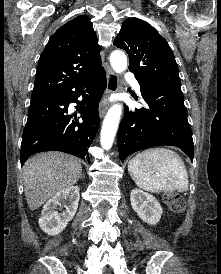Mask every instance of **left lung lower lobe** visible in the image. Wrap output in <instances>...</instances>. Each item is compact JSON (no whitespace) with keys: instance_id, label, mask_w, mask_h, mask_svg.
<instances>
[{"instance_id":"1","label":"left lung lower lobe","mask_w":221,"mask_h":274,"mask_svg":"<svg viewBox=\"0 0 221 274\" xmlns=\"http://www.w3.org/2000/svg\"><path fill=\"white\" fill-rule=\"evenodd\" d=\"M137 80L147 106L131 110L124 105V117L118 130L120 160L148 147L168 145L179 147L193 161L192 131L183 97L157 93Z\"/></svg>"}]
</instances>
